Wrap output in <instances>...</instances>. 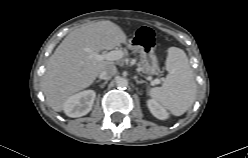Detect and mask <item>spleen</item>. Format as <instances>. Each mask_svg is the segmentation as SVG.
Masks as SVG:
<instances>
[{
  "instance_id": "spleen-1",
  "label": "spleen",
  "mask_w": 248,
  "mask_h": 158,
  "mask_svg": "<svg viewBox=\"0 0 248 158\" xmlns=\"http://www.w3.org/2000/svg\"><path fill=\"white\" fill-rule=\"evenodd\" d=\"M168 74L161 87L149 90V96L173 115L184 114L193 104L197 86L183 50L170 47L166 59Z\"/></svg>"
}]
</instances>
